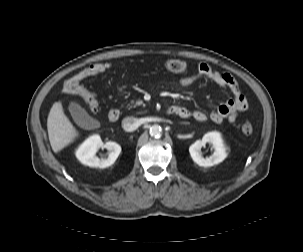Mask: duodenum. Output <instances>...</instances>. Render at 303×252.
Segmentation results:
<instances>
[{
  "label": "duodenum",
  "instance_id": "1",
  "mask_svg": "<svg viewBox=\"0 0 303 252\" xmlns=\"http://www.w3.org/2000/svg\"><path fill=\"white\" fill-rule=\"evenodd\" d=\"M168 112L172 113V114H177V115L181 114L179 108L176 106L169 107ZM120 114H121V109L119 107H117V106L112 107L109 112L110 121L116 122L118 120V118L120 117Z\"/></svg>",
  "mask_w": 303,
  "mask_h": 252
}]
</instances>
